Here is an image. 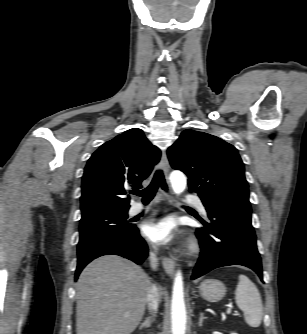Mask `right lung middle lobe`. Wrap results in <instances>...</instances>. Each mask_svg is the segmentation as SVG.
Returning a JSON list of instances; mask_svg holds the SVG:
<instances>
[{
  "label": "right lung middle lobe",
  "instance_id": "right-lung-middle-lobe-1",
  "mask_svg": "<svg viewBox=\"0 0 307 334\" xmlns=\"http://www.w3.org/2000/svg\"><path fill=\"white\" fill-rule=\"evenodd\" d=\"M127 212L102 211L82 216L78 255L94 245L124 240L137 229L127 222Z\"/></svg>",
  "mask_w": 307,
  "mask_h": 334
}]
</instances>
